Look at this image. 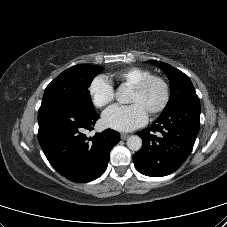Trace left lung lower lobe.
Here are the masks:
<instances>
[{
  "label": "left lung lower lobe",
  "instance_id": "obj_1",
  "mask_svg": "<svg viewBox=\"0 0 227 227\" xmlns=\"http://www.w3.org/2000/svg\"><path fill=\"white\" fill-rule=\"evenodd\" d=\"M199 127V102L183 103L160 115L150 127L136 133L143 141L133 156L136 169L151 177L171 174L191 153Z\"/></svg>",
  "mask_w": 227,
  "mask_h": 227
}]
</instances>
